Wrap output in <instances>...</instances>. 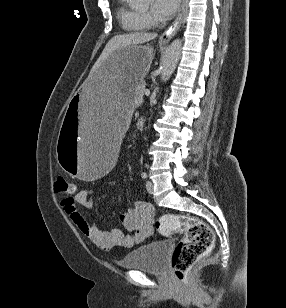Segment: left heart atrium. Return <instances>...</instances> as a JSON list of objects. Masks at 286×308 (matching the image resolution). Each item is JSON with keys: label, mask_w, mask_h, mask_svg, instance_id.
Masks as SVG:
<instances>
[{"label": "left heart atrium", "mask_w": 286, "mask_h": 308, "mask_svg": "<svg viewBox=\"0 0 286 308\" xmlns=\"http://www.w3.org/2000/svg\"><path fill=\"white\" fill-rule=\"evenodd\" d=\"M178 3L179 0H153L152 11L158 18L168 19L175 14Z\"/></svg>", "instance_id": "1"}]
</instances>
